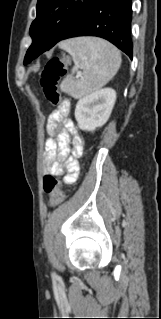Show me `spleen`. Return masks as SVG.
Returning <instances> with one entry per match:
<instances>
[{"mask_svg": "<svg viewBox=\"0 0 161 319\" xmlns=\"http://www.w3.org/2000/svg\"><path fill=\"white\" fill-rule=\"evenodd\" d=\"M60 48L73 58L74 67L70 75L61 82L62 92L81 99L106 85L121 65L119 50L109 42L95 37H78L63 41ZM79 69L81 75L73 77Z\"/></svg>", "mask_w": 161, "mask_h": 319, "instance_id": "obj_1", "label": "spleen"}]
</instances>
